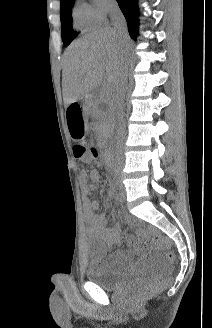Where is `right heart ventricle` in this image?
<instances>
[{
	"label": "right heart ventricle",
	"mask_w": 212,
	"mask_h": 328,
	"mask_svg": "<svg viewBox=\"0 0 212 328\" xmlns=\"http://www.w3.org/2000/svg\"><path fill=\"white\" fill-rule=\"evenodd\" d=\"M95 23L96 22L90 18L86 8L83 5H79L74 9L73 24L75 28L85 30L92 27Z\"/></svg>",
	"instance_id": "1"
}]
</instances>
